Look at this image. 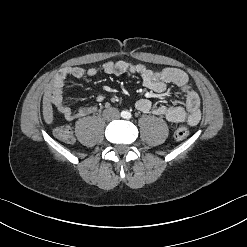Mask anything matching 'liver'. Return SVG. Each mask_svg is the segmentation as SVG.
Returning a JSON list of instances; mask_svg holds the SVG:
<instances>
[{
	"label": "liver",
	"mask_w": 247,
	"mask_h": 247,
	"mask_svg": "<svg viewBox=\"0 0 247 247\" xmlns=\"http://www.w3.org/2000/svg\"><path fill=\"white\" fill-rule=\"evenodd\" d=\"M52 85L49 84L46 87V90L44 92L43 96V116L44 120L47 124H51L53 121V109L51 105V99H52Z\"/></svg>",
	"instance_id": "1"
}]
</instances>
